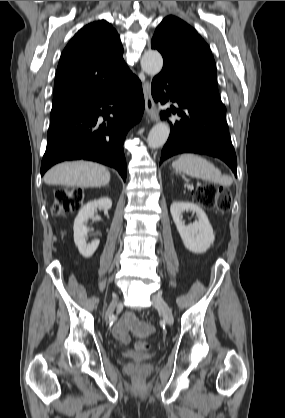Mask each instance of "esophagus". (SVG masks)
Returning a JSON list of instances; mask_svg holds the SVG:
<instances>
[{
  "instance_id": "esophagus-1",
  "label": "esophagus",
  "mask_w": 285,
  "mask_h": 418,
  "mask_svg": "<svg viewBox=\"0 0 285 418\" xmlns=\"http://www.w3.org/2000/svg\"><path fill=\"white\" fill-rule=\"evenodd\" d=\"M143 94L145 99V119L146 121L151 120L157 122L159 120V116L157 113L156 104L151 94V88L148 81H145L143 83Z\"/></svg>"
}]
</instances>
